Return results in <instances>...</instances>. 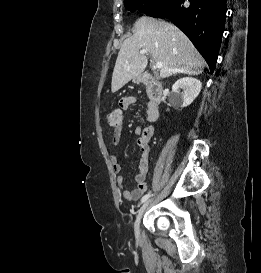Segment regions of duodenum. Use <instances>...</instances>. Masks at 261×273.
Wrapping results in <instances>:
<instances>
[{
    "label": "duodenum",
    "mask_w": 261,
    "mask_h": 273,
    "mask_svg": "<svg viewBox=\"0 0 261 273\" xmlns=\"http://www.w3.org/2000/svg\"><path fill=\"white\" fill-rule=\"evenodd\" d=\"M140 83L143 84L151 96L150 105L153 110H157L163 96V86L157 81L153 75L145 73L140 78Z\"/></svg>",
    "instance_id": "1"
}]
</instances>
